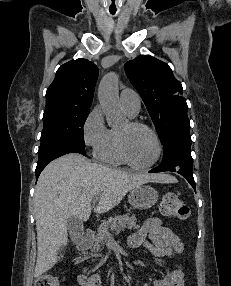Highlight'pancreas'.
I'll list each match as a JSON object with an SVG mask.
<instances>
[{
  "label": "pancreas",
  "mask_w": 231,
  "mask_h": 286,
  "mask_svg": "<svg viewBox=\"0 0 231 286\" xmlns=\"http://www.w3.org/2000/svg\"><path fill=\"white\" fill-rule=\"evenodd\" d=\"M136 221V217L134 215L130 216L129 214L108 218V220L104 221L97 229V235L94 238L93 251H101V246L110 238L111 231L119 232L125 228L129 230L138 229L139 225L136 224Z\"/></svg>",
  "instance_id": "1"
}]
</instances>
